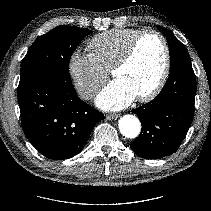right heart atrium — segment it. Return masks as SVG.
Instances as JSON below:
<instances>
[{
  "label": "right heart atrium",
  "instance_id": "right-heart-atrium-1",
  "mask_svg": "<svg viewBox=\"0 0 211 211\" xmlns=\"http://www.w3.org/2000/svg\"><path fill=\"white\" fill-rule=\"evenodd\" d=\"M67 68L74 89L84 100H91L106 80V72L91 53L73 51Z\"/></svg>",
  "mask_w": 211,
  "mask_h": 211
}]
</instances>
